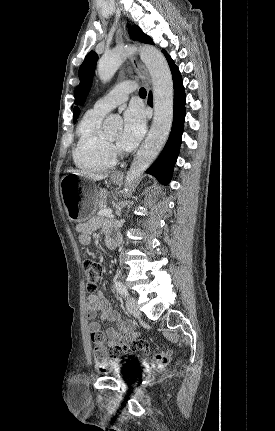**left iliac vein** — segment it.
I'll list each match as a JSON object with an SVG mask.
<instances>
[{
  "label": "left iliac vein",
  "mask_w": 275,
  "mask_h": 431,
  "mask_svg": "<svg viewBox=\"0 0 275 431\" xmlns=\"http://www.w3.org/2000/svg\"><path fill=\"white\" fill-rule=\"evenodd\" d=\"M126 307L128 312L136 318L141 316V313L137 306V300L133 297H128L126 301Z\"/></svg>",
  "instance_id": "left-iliac-vein-1"
}]
</instances>
